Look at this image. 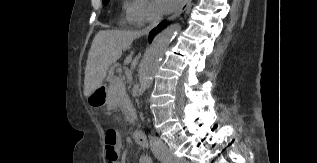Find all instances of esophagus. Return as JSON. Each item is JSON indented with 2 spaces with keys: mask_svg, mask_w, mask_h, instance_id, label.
I'll list each match as a JSON object with an SVG mask.
<instances>
[{
  "mask_svg": "<svg viewBox=\"0 0 317 163\" xmlns=\"http://www.w3.org/2000/svg\"><path fill=\"white\" fill-rule=\"evenodd\" d=\"M192 0H184L180 8L170 17L169 20L178 18L190 5Z\"/></svg>",
  "mask_w": 317,
  "mask_h": 163,
  "instance_id": "obj_1",
  "label": "esophagus"
}]
</instances>
